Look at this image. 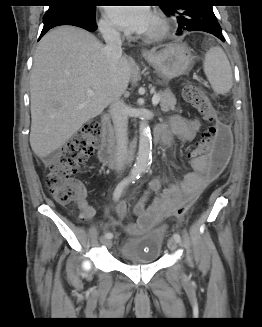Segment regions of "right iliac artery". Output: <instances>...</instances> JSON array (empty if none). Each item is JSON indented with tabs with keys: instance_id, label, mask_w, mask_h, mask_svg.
<instances>
[{
	"instance_id": "82829eb1",
	"label": "right iliac artery",
	"mask_w": 262,
	"mask_h": 327,
	"mask_svg": "<svg viewBox=\"0 0 262 327\" xmlns=\"http://www.w3.org/2000/svg\"><path fill=\"white\" fill-rule=\"evenodd\" d=\"M131 181H133L131 178H125V179H123L118 185H117V187L115 188V190H114V193H113V199L115 200V201H117L119 198H120V196H121V194H122V192H123V190H124V188L131 182ZM105 237L106 238H112L113 237V234L112 233H110V232H107L106 234H105Z\"/></svg>"
}]
</instances>
